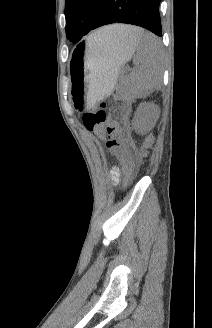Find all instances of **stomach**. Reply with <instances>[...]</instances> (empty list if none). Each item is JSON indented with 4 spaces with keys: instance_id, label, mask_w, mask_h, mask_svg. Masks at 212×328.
Masks as SVG:
<instances>
[{
    "instance_id": "obj_1",
    "label": "stomach",
    "mask_w": 212,
    "mask_h": 328,
    "mask_svg": "<svg viewBox=\"0 0 212 328\" xmlns=\"http://www.w3.org/2000/svg\"><path fill=\"white\" fill-rule=\"evenodd\" d=\"M137 39L125 44L90 46L79 44L72 53L70 70L72 94L77 106H87L108 96L116 82L121 67L137 49Z\"/></svg>"
}]
</instances>
